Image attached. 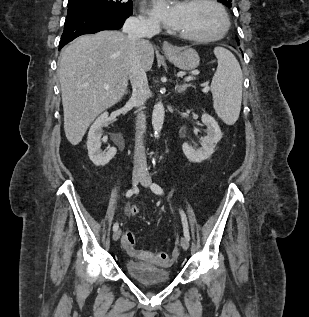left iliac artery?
Returning a JSON list of instances; mask_svg holds the SVG:
<instances>
[{"label": "left iliac artery", "mask_w": 309, "mask_h": 317, "mask_svg": "<svg viewBox=\"0 0 309 317\" xmlns=\"http://www.w3.org/2000/svg\"><path fill=\"white\" fill-rule=\"evenodd\" d=\"M151 189L152 191L155 193V194H159V195H162L164 192H163V189L161 188V186H159L158 184L156 183H153L151 185ZM180 215H181V220H182V224H183V232H184V236L187 238V240L189 241L190 240V234H189V229H188V222H187V218H186V215L184 213L183 210H180Z\"/></svg>", "instance_id": "obj_1"}]
</instances>
